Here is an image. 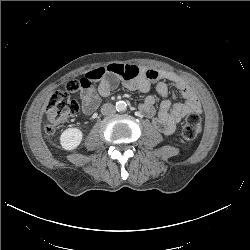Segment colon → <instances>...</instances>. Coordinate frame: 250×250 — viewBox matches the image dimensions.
<instances>
[{"label":"colon","mask_w":250,"mask_h":250,"mask_svg":"<svg viewBox=\"0 0 250 250\" xmlns=\"http://www.w3.org/2000/svg\"><path fill=\"white\" fill-rule=\"evenodd\" d=\"M80 87V82L69 81L64 87L56 91L49 99L46 106L47 124L45 132L53 134L57 126L79 111L78 103L71 98ZM202 132L200 117L192 113L186 117L182 125V134L186 139H195Z\"/></svg>","instance_id":"5ec220e1"}]
</instances>
